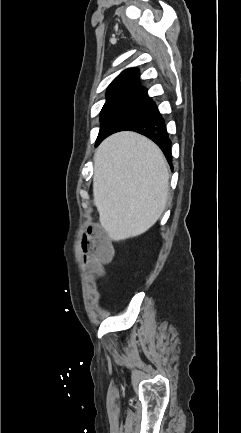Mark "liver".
Returning <instances> with one entry per match:
<instances>
[{"label": "liver", "mask_w": 241, "mask_h": 433, "mask_svg": "<svg viewBox=\"0 0 241 433\" xmlns=\"http://www.w3.org/2000/svg\"><path fill=\"white\" fill-rule=\"evenodd\" d=\"M169 171L160 148L129 131L106 138L94 155L93 202L113 241L139 236L163 214Z\"/></svg>", "instance_id": "liver-1"}]
</instances>
